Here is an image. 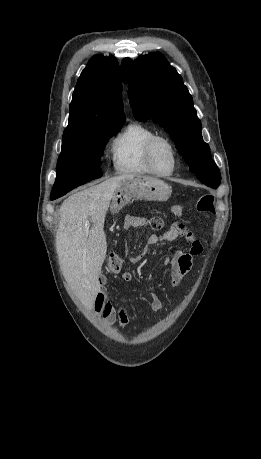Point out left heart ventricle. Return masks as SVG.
Returning <instances> with one entry per match:
<instances>
[{"instance_id": "obj_1", "label": "left heart ventricle", "mask_w": 261, "mask_h": 459, "mask_svg": "<svg viewBox=\"0 0 261 459\" xmlns=\"http://www.w3.org/2000/svg\"><path fill=\"white\" fill-rule=\"evenodd\" d=\"M154 166L157 171L161 173H168L173 168L174 159L169 146L160 142L156 145L154 149L153 156Z\"/></svg>"}]
</instances>
